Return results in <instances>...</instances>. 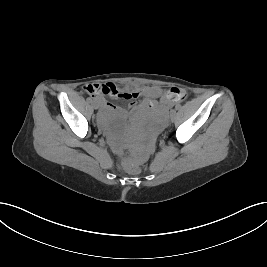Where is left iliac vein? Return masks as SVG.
Segmentation results:
<instances>
[{"label":"left iliac vein","instance_id":"4c4485c4","mask_svg":"<svg viewBox=\"0 0 267 267\" xmlns=\"http://www.w3.org/2000/svg\"><path fill=\"white\" fill-rule=\"evenodd\" d=\"M176 113V112H175ZM175 113H170V119L173 120Z\"/></svg>","mask_w":267,"mask_h":267}]
</instances>
